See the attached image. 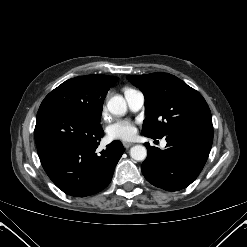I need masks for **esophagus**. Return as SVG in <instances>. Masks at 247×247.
Returning a JSON list of instances; mask_svg holds the SVG:
<instances>
[{"mask_svg":"<svg viewBox=\"0 0 247 247\" xmlns=\"http://www.w3.org/2000/svg\"><path fill=\"white\" fill-rule=\"evenodd\" d=\"M133 145V143L131 142H123V146L124 148L128 149L129 147H131Z\"/></svg>","mask_w":247,"mask_h":247,"instance_id":"esophagus-1","label":"esophagus"}]
</instances>
